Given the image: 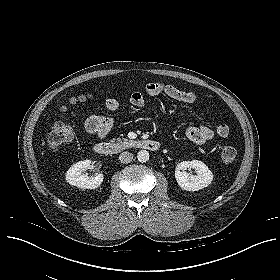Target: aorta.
Here are the masks:
<instances>
[{"label":"aorta","instance_id":"1","mask_svg":"<svg viewBox=\"0 0 280 280\" xmlns=\"http://www.w3.org/2000/svg\"><path fill=\"white\" fill-rule=\"evenodd\" d=\"M137 159L139 162H147L149 160V153L147 150H140L138 153H137Z\"/></svg>","mask_w":280,"mask_h":280}]
</instances>
